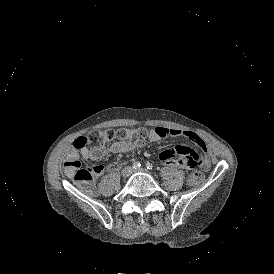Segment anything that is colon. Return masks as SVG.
Returning <instances> with one entry per match:
<instances>
[{
	"mask_svg": "<svg viewBox=\"0 0 274 274\" xmlns=\"http://www.w3.org/2000/svg\"><path fill=\"white\" fill-rule=\"evenodd\" d=\"M146 130L144 128L137 129H105L94 132L95 137H100L105 141H111L114 138L122 141H128L133 143L141 142L146 137ZM75 146H71V150L65 157L63 162L64 171L79 184L89 185L88 182L93 179L94 176L100 174L104 170L103 165L82 166L80 159L76 152L81 147L88 146V139L85 133L75 134ZM204 180V175L200 170L190 172L187 176V183L191 188L199 186Z\"/></svg>",
	"mask_w": 274,
	"mask_h": 274,
	"instance_id": "colon-1",
	"label": "colon"
}]
</instances>
